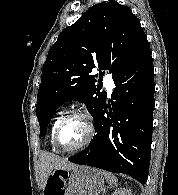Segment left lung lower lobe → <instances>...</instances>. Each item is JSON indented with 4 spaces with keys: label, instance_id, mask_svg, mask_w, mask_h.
I'll list each match as a JSON object with an SVG mask.
<instances>
[{
    "label": "left lung lower lobe",
    "instance_id": "left-lung-lower-lobe-1",
    "mask_svg": "<svg viewBox=\"0 0 178 195\" xmlns=\"http://www.w3.org/2000/svg\"><path fill=\"white\" fill-rule=\"evenodd\" d=\"M114 83L112 109L106 111L104 102L94 118V139L69 161L124 173L145 184L151 159L155 106L151 51L119 74Z\"/></svg>",
    "mask_w": 178,
    "mask_h": 195
}]
</instances>
